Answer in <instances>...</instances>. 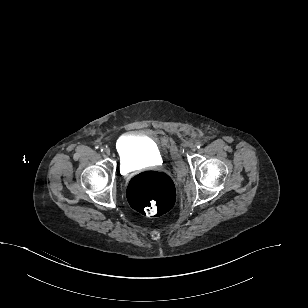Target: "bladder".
Wrapping results in <instances>:
<instances>
[{
    "mask_svg": "<svg viewBox=\"0 0 308 308\" xmlns=\"http://www.w3.org/2000/svg\"><path fill=\"white\" fill-rule=\"evenodd\" d=\"M116 151L124 168L154 165L162 159L157 142L140 131L123 135L116 144Z\"/></svg>",
    "mask_w": 308,
    "mask_h": 308,
    "instance_id": "bladder-1",
    "label": "bladder"
}]
</instances>
